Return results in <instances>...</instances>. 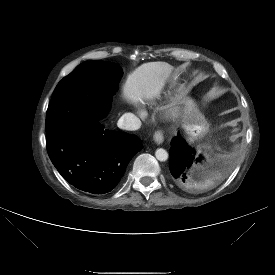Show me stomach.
Listing matches in <instances>:
<instances>
[{
    "instance_id": "0dacf381",
    "label": "stomach",
    "mask_w": 275,
    "mask_h": 275,
    "mask_svg": "<svg viewBox=\"0 0 275 275\" xmlns=\"http://www.w3.org/2000/svg\"><path fill=\"white\" fill-rule=\"evenodd\" d=\"M185 128L192 140L200 138L206 130V121L192 99L185 100Z\"/></svg>"
}]
</instances>
